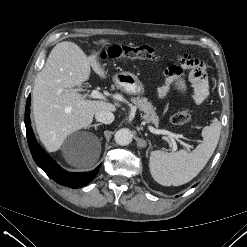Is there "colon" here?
<instances>
[{
  "instance_id": "1",
  "label": "colon",
  "mask_w": 247,
  "mask_h": 247,
  "mask_svg": "<svg viewBox=\"0 0 247 247\" xmlns=\"http://www.w3.org/2000/svg\"><path fill=\"white\" fill-rule=\"evenodd\" d=\"M105 58H139L155 59L159 57V50L148 45L131 46V45H113L104 53ZM171 121L175 125H188L192 122V115L187 109H180L172 114Z\"/></svg>"
}]
</instances>
